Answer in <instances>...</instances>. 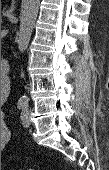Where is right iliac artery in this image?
I'll use <instances>...</instances> for the list:
<instances>
[{
  "label": "right iliac artery",
  "mask_w": 109,
  "mask_h": 170,
  "mask_svg": "<svg viewBox=\"0 0 109 170\" xmlns=\"http://www.w3.org/2000/svg\"><path fill=\"white\" fill-rule=\"evenodd\" d=\"M17 107H18L19 109L23 108V107H24V103H23V102H18Z\"/></svg>",
  "instance_id": "obj_1"
}]
</instances>
